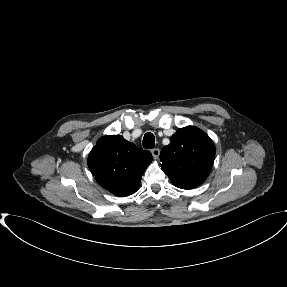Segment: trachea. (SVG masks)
<instances>
[{"label":"trachea","mask_w":287,"mask_h":287,"mask_svg":"<svg viewBox=\"0 0 287 287\" xmlns=\"http://www.w3.org/2000/svg\"><path fill=\"white\" fill-rule=\"evenodd\" d=\"M155 146V137L151 132H147L143 138V147L146 149H152Z\"/></svg>","instance_id":"trachea-1"}]
</instances>
